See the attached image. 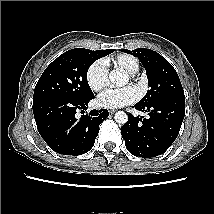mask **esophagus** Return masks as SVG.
<instances>
[{
	"mask_svg": "<svg viewBox=\"0 0 214 214\" xmlns=\"http://www.w3.org/2000/svg\"><path fill=\"white\" fill-rule=\"evenodd\" d=\"M109 113H110V114H114L115 111H114V110H110Z\"/></svg>",
	"mask_w": 214,
	"mask_h": 214,
	"instance_id": "34e87169",
	"label": "esophagus"
}]
</instances>
